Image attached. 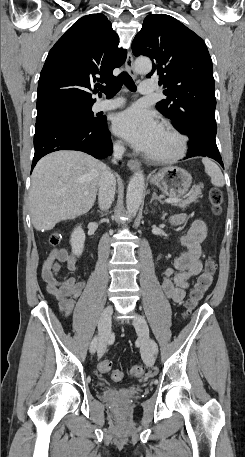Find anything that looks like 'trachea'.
Wrapping results in <instances>:
<instances>
[{"label":"trachea","instance_id":"trachea-1","mask_svg":"<svg viewBox=\"0 0 245 457\" xmlns=\"http://www.w3.org/2000/svg\"><path fill=\"white\" fill-rule=\"evenodd\" d=\"M122 85H125L131 92L136 91L134 80L128 73H121L112 83L105 87H99V90L105 93L106 97H114V95L121 90Z\"/></svg>","mask_w":245,"mask_h":457}]
</instances>
